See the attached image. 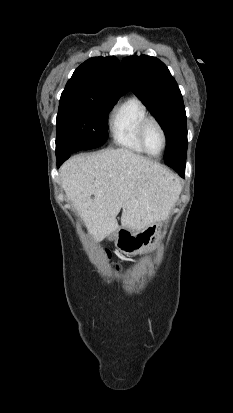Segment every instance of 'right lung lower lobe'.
I'll use <instances>...</instances> for the list:
<instances>
[{
    "mask_svg": "<svg viewBox=\"0 0 233 413\" xmlns=\"http://www.w3.org/2000/svg\"><path fill=\"white\" fill-rule=\"evenodd\" d=\"M70 155L71 154L56 156L57 157V167L59 168L60 165L70 157Z\"/></svg>",
    "mask_w": 233,
    "mask_h": 413,
    "instance_id": "obj_1",
    "label": "right lung lower lobe"
}]
</instances>
